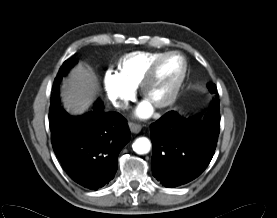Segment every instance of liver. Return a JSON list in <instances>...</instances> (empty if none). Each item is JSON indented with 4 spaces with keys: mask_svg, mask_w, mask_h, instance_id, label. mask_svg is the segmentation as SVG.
I'll return each mask as SVG.
<instances>
[{
    "mask_svg": "<svg viewBox=\"0 0 277 218\" xmlns=\"http://www.w3.org/2000/svg\"><path fill=\"white\" fill-rule=\"evenodd\" d=\"M97 78L93 70L79 64L63 81L62 101L66 110L72 114H82L96 99Z\"/></svg>",
    "mask_w": 277,
    "mask_h": 218,
    "instance_id": "6515ba94",
    "label": "liver"
}]
</instances>
